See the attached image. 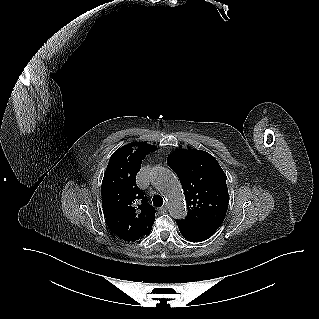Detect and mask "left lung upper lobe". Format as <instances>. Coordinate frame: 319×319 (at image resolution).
Segmentation results:
<instances>
[{
	"label": "left lung upper lobe",
	"mask_w": 319,
	"mask_h": 319,
	"mask_svg": "<svg viewBox=\"0 0 319 319\" xmlns=\"http://www.w3.org/2000/svg\"><path fill=\"white\" fill-rule=\"evenodd\" d=\"M184 190L188 214L184 220L219 228L229 203L226 175L209 153L177 149L167 159Z\"/></svg>",
	"instance_id": "1"
}]
</instances>
